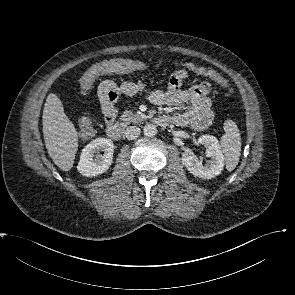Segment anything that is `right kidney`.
<instances>
[{
	"mask_svg": "<svg viewBox=\"0 0 295 295\" xmlns=\"http://www.w3.org/2000/svg\"><path fill=\"white\" fill-rule=\"evenodd\" d=\"M102 150L104 154L93 161L94 153ZM114 144L111 139L97 138L82 150L77 170L83 176L93 177L106 172L112 164Z\"/></svg>",
	"mask_w": 295,
	"mask_h": 295,
	"instance_id": "1",
	"label": "right kidney"
}]
</instances>
